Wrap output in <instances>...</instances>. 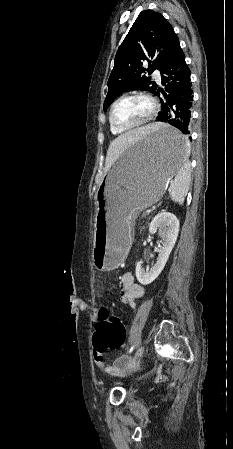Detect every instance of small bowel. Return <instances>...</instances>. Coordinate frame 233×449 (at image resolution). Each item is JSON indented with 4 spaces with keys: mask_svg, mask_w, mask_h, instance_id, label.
<instances>
[{
    "mask_svg": "<svg viewBox=\"0 0 233 449\" xmlns=\"http://www.w3.org/2000/svg\"><path fill=\"white\" fill-rule=\"evenodd\" d=\"M120 285L122 289L123 299L131 306L134 307L135 300L143 295V287L135 282L134 274L132 271L125 272L120 277ZM108 289H112L113 285L108 284ZM99 310L94 312V318L96 321L101 320L98 316ZM94 361L96 365L104 370L109 375H116L120 369L126 364V358L124 356L114 359L112 364H107L103 355L94 352Z\"/></svg>",
    "mask_w": 233,
    "mask_h": 449,
    "instance_id": "small-bowel-1",
    "label": "small bowel"
}]
</instances>
